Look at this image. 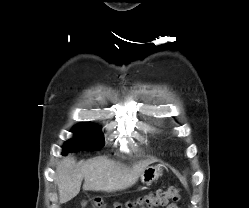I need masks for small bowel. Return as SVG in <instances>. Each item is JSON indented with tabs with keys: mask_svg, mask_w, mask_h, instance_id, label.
<instances>
[{
	"mask_svg": "<svg viewBox=\"0 0 249 208\" xmlns=\"http://www.w3.org/2000/svg\"><path fill=\"white\" fill-rule=\"evenodd\" d=\"M166 208H178V207L176 204L172 203V204L167 205Z\"/></svg>",
	"mask_w": 249,
	"mask_h": 208,
	"instance_id": "1",
	"label": "small bowel"
}]
</instances>
